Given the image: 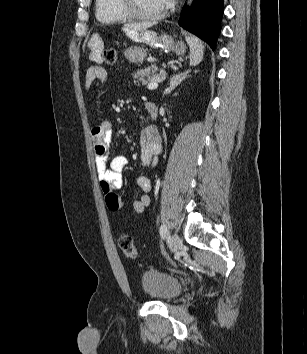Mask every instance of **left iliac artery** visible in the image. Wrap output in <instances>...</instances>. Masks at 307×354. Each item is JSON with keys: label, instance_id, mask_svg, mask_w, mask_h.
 Instances as JSON below:
<instances>
[{"label": "left iliac artery", "instance_id": "obj_1", "mask_svg": "<svg viewBox=\"0 0 307 354\" xmlns=\"http://www.w3.org/2000/svg\"><path fill=\"white\" fill-rule=\"evenodd\" d=\"M160 235L162 238H165L166 234L168 233L167 226L165 224L161 225L160 227Z\"/></svg>", "mask_w": 307, "mask_h": 354}]
</instances>
